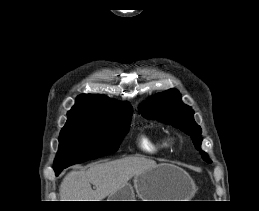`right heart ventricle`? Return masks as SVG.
Listing matches in <instances>:
<instances>
[{"label": "right heart ventricle", "instance_id": "e07e8e85", "mask_svg": "<svg viewBox=\"0 0 259 211\" xmlns=\"http://www.w3.org/2000/svg\"><path fill=\"white\" fill-rule=\"evenodd\" d=\"M137 143L140 150L150 155L159 154L170 146L169 139L164 134L143 133L138 137Z\"/></svg>", "mask_w": 259, "mask_h": 211}]
</instances>
